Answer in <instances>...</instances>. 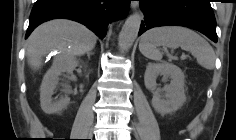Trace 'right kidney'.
Wrapping results in <instances>:
<instances>
[{
    "mask_svg": "<svg viewBox=\"0 0 236 140\" xmlns=\"http://www.w3.org/2000/svg\"><path fill=\"white\" fill-rule=\"evenodd\" d=\"M78 64L79 61L73 58L58 60L44 75L40 87V104L46 114L58 113L68 105L70 98L67 95L55 100L52 99V95L58 84L59 76L62 73L71 74Z\"/></svg>",
    "mask_w": 236,
    "mask_h": 140,
    "instance_id": "right-kidney-1",
    "label": "right kidney"
}]
</instances>
